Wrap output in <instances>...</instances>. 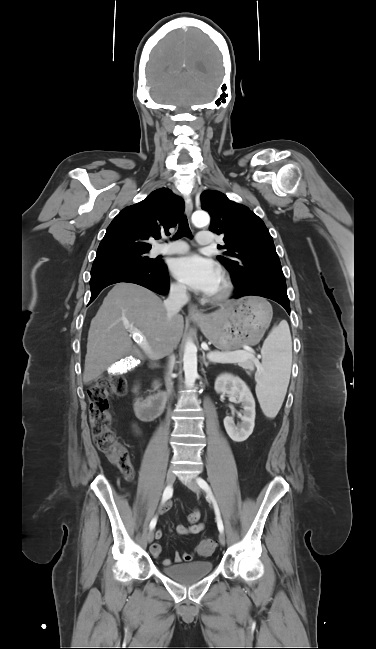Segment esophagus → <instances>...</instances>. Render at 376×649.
Instances as JSON below:
<instances>
[{
  "label": "esophagus",
  "mask_w": 376,
  "mask_h": 649,
  "mask_svg": "<svg viewBox=\"0 0 376 649\" xmlns=\"http://www.w3.org/2000/svg\"><path fill=\"white\" fill-rule=\"evenodd\" d=\"M192 211H193L192 199H191L190 196H188L187 201H186L185 213L189 217L191 215ZM188 314L193 319H200L203 316L202 312L200 310H198L197 307L194 306V305L189 306Z\"/></svg>",
  "instance_id": "obj_1"
}]
</instances>
